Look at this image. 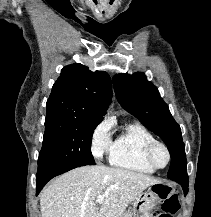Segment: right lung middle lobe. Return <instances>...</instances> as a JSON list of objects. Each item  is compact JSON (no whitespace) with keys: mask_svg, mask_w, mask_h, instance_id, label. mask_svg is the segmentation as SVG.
Listing matches in <instances>:
<instances>
[{"mask_svg":"<svg viewBox=\"0 0 211 217\" xmlns=\"http://www.w3.org/2000/svg\"><path fill=\"white\" fill-rule=\"evenodd\" d=\"M97 121L45 120V134L38 171L57 166L95 165L90 145Z\"/></svg>","mask_w":211,"mask_h":217,"instance_id":"1","label":"right lung middle lobe"}]
</instances>
